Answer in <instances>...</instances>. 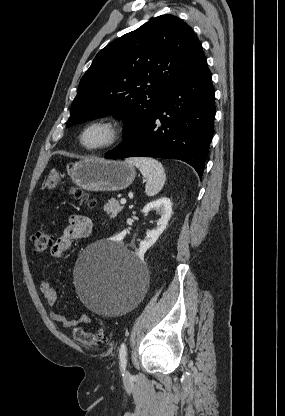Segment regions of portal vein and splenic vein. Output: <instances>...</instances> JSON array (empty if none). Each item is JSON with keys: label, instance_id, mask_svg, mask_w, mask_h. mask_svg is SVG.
I'll return each mask as SVG.
<instances>
[{"label": "portal vein and splenic vein", "instance_id": "portal-vein-and-splenic-vein-1", "mask_svg": "<svg viewBox=\"0 0 285 416\" xmlns=\"http://www.w3.org/2000/svg\"><path fill=\"white\" fill-rule=\"evenodd\" d=\"M127 200H125V198H122V200H120V204H126Z\"/></svg>", "mask_w": 285, "mask_h": 416}]
</instances>
